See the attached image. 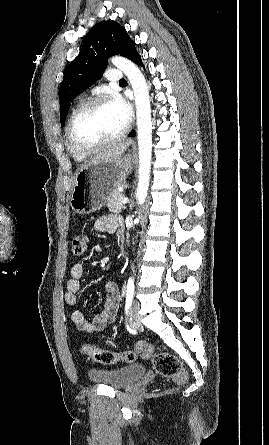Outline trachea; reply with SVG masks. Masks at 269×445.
Segmentation results:
<instances>
[{"label":"trachea","mask_w":269,"mask_h":445,"mask_svg":"<svg viewBox=\"0 0 269 445\" xmlns=\"http://www.w3.org/2000/svg\"><path fill=\"white\" fill-rule=\"evenodd\" d=\"M124 82H126V80L125 79H121L119 83H124Z\"/></svg>","instance_id":"1"}]
</instances>
